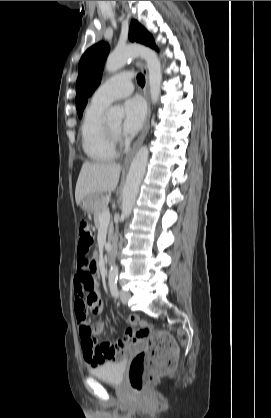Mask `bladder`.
I'll use <instances>...</instances> for the list:
<instances>
[{"label":"bladder","instance_id":"31cf9c89","mask_svg":"<svg viewBox=\"0 0 271 418\" xmlns=\"http://www.w3.org/2000/svg\"><path fill=\"white\" fill-rule=\"evenodd\" d=\"M126 363L123 360L105 362L89 370L90 374L100 380L120 384L123 381Z\"/></svg>","mask_w":271,"mask_h":418}]
</instances>
